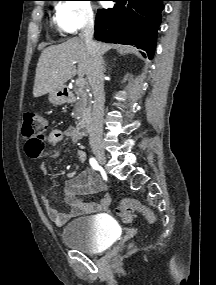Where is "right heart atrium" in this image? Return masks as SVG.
I'll return each instance as SVG.
<instances>
[{"label":"right heart atrium","instance_id":"d8ad5b80","mask_svg":"<svg viewBox=\"0 0 216 285\" xmlns=\"http://www.w3.org/2000/svg\"><path fill=\"white\" fill-rule=\"evenodd\" d=\"M93 7L87 0H64L55 10L56 26L64 33L74 34L80 29L93 24Z\"/></svg>","mask_w":216,"mask_h":285}]
</instances>
